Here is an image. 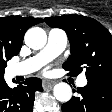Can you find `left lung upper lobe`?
Instances as JSON below:
<instances>
[{
  "label": "left lung upper lobe",
  "mask_w": 112,
  "mask_h": 112,
  "mask_svg": "<svg viewBox=\"0 0 112 112\" xmlns=\"http://www.w3.org/2000/svg\"><path fill=\"white\" fill-rule=\"evenodd\" d=\"M52 28H62L70 41L63 68L76 76L85 71L87 80L112 81V35L98 21L75 14L45 18Z\"/></svg>",
  "instance_id": "1"
}]
</instances>
